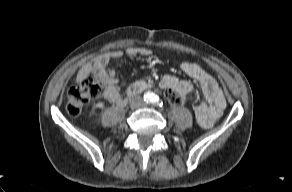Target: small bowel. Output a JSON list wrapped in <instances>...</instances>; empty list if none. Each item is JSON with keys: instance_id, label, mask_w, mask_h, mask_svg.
Instances as JSON below:
<instances>
[{"instance_id": "1", "label": "small bowel", "mask_w": 292, "mask_h": 192, "mask_svg": "<svg viewBox=\"0 0 292 192\" xmlns=\"http://www.w3.org/2000/svg\"><path fill=\"white\" fill-rule=\"evenodd\" d=\"M131 57L151 56L152 50L147 47H129L125 52L122 50L113 51L107 56L99 58L94 64L93 69L106 81L103 91L104 98L114 104L123 105L125 97L122 95L118 86L119 78L114 69L108 66L110 61L123 57L124 54ZM180 69L190 78L195 80L201 87L206 102L194 106L196 119L200 126L209 128L213 126L221 117L226 107V99L216 80L209 75L201 66L193 62H181ZM161 88L168 93H175L183 96L193 90L190 82L177 77L166 75L160 82Z\"/></svg>"}]
</instances>
